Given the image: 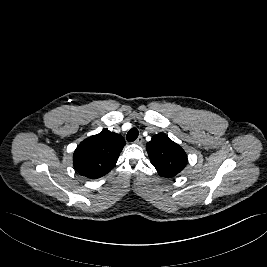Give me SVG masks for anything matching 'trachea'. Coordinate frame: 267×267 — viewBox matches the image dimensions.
<instances>
[{
    "label": "trachea",
    "instance_id": "obj_1",
    "mask_svg": "<svg viewBox=\"0 0 267 267\" xmlns=\"http://www.w3.org/2000/svg\"><path fill=\"white\" fill-rule=\"evenodd\" d=\"M139 135V131L136 128H132L131 130H129V132L127 133V141L128 142H133L137 139Z\"/></svg>",
    "mask_w": 267,
    "mask_h": 267
}]
</instances>
